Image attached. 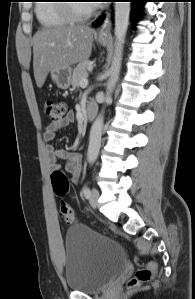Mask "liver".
<instances>
[{
  "label": "liver",
  "mask_w": 195,
  "mask_h": 299,
  "mask_svg": "<svg viewBox=\"0 0 195 299\" xmlns=\"http://www.w3.org/2000/svg\"><path fill=\"white\" fill-rule=\"evenodd\" d=\"M95 31L85 25L43 28L33 37V69L41 88L51 70L70 67L91 55Z\"/></svg>",
  "instance_id": "liver-1"
}]
</instances>
